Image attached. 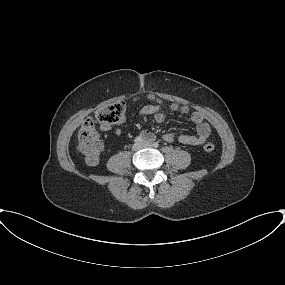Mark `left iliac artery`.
Returning <instances> with one entry per match:
<instances>
[{"mask_svg": "<svg viewBox=\"0 0 285 285\" xmlns=\"http://www.w3.org/2000/svg\"><path fill=\"white\" fill-rule=\"evenodd\" d=\"M153 146H154L155 148H157V147L159 146V144H158L157 142H155V143H153Z\"/></svg>", "mask_w": 285, "mask_h": 285, "instance_id": "44dca946", "label": "left iliac artery"}]
</instances>
